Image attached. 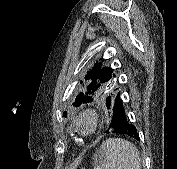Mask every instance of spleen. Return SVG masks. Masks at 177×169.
Segmentation results:
<instances>
[{
    "label": "spleen",
    "mask_w": 177,
    "mask_h": 169,
    "mask_svg": "<svg viewBox=\"0 0 177 169\" xmlns=\"http://www.w3.org/2000/svg\"><path fill=\"white\" fill-rule=\"evenodd\" d=\"M93 169H141L136 146L121 138H109L95 154Z\"/></svg>",
    "instance_id": "spleen-1"
}]
</instances>
